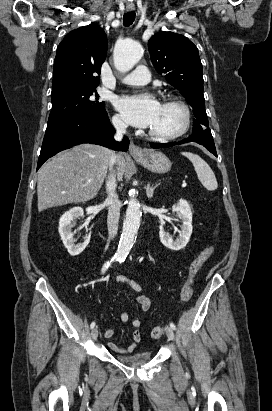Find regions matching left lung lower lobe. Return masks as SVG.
Segmentation results:
<instances>
[{
	"label": "left lung lower lobe",
	"mask_w": 272,
	"mask_h": 411,
	"mask_svg": "<svg viewBox=\"0 0 272 411\" xmlns=\"http://www.w3.org/2000/svg\"><path fill=\"white\" fill-rule=\"evenodd\" d=\"M188 142H196L200 145H203L207 150L217 156L216 148L214 145L213 137L211 135V131H204L201 133H193L188 138L179 141V142H172V143H150L152 148H163V147H170L173 145H180Z\"/></svg>",
	"instance_id": "0a47b994"
}]
</instances>
